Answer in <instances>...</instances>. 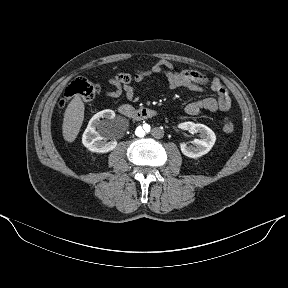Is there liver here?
<instances>
[{
  "instance_id": "obj_1",
  "label": "liver",
  "mask_w": 288,
  "mask_h": 288,
  "mask_svg": "<svg viewBox=\"0 0 288 288\" xmlns=\"http://www.w3.org/2000/svg\"><path fill=\"white\" fill-rule=\"evenodd\" d=\"M85 106L79 95H76L68 104L64 113L62 133L67 142H73L84 120Z\"/></svg>"
}]
</instances>
